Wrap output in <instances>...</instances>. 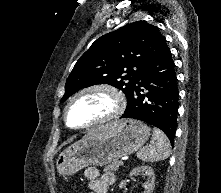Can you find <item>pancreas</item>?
I'll return each instance as SVG.
<instances>
[{
	"instance_id": "pancreas-1",
	"label": "pancreas",
	"mask_w": 221,
	"mask_h": 193,
	"mask_svg": "<svg viewBox=\"0 0 221 193\" xmlns=\"http://www.w3.org/2000/svg\"><path fill=\"white\" fill-rule=\"evenodd\" d=\"M121 165L120 161H113L111 164L106 166L104 168V171L106 172H115L119 169V166Z\"/></svg>"
}]
</instances>
